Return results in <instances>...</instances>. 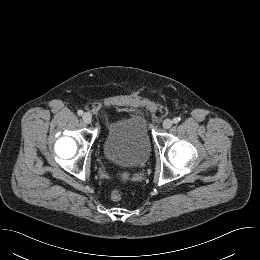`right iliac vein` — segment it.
Segmentation results:
<instances>
[{
  "label": "right iliac vein",
  "instance_id": "63e3f726",
  "mask_svg": "<svg viewBox=\"0 0 260 260\" xmlns=\"http://www.w3.org/2000/svg\"><path fill=\"white\" fill-rule=\"evenodd\" d=\"M82 118L83 121L87 124H89L92 121V115L90 113H84Z\"/></svg>",
  "mask_w": 260,
  "mask_h": 260
}]
</instances>
